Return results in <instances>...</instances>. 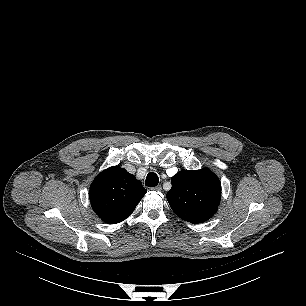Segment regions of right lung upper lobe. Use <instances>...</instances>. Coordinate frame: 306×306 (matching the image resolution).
Returning <instances> with one entry per match:
<instances>
[{"label": "right lung upper lobe", "mask_w": 306, "mask_h": 306, "mask_svg": "<svg viewBox=\"0 0 306 306\" xmlns=\"http://www.w3.org/2000/svg\"><path fill=\"white\" fill-rule=\"evenodd\" d=\"M146 189L125 169L113 166L92 182L89 198L94 212L106 223L125 220L143 198Z\"/></svg>", "instance_id": "cb5924a9"}]
</instances>
